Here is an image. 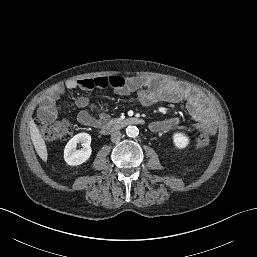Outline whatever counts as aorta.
Masks as SVG:
<instances>
[{"label":"aorta","mask_w":257,"mask_h":257,"mask_svg":"<svg viewBox=\"0 0 257 257\" xmlns=\"http://www.w3.org/2000/svg\"><path fill=\"white\" fill-rule=\"evenodd\" d=\"M126 134L128 137L135 138L139 134V129L136 126H128L126 128Z\"/></svg>","instance_id":"1"}]
</instances>
